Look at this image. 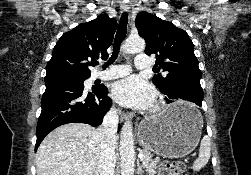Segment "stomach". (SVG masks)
Segmentation results:
<instances>
[{
    "label": "stomach",
    "instance_id": "obj_1",
    "mask_svg": "<svg viewBox=\"0 0 251 175\" xmlns=\"http://www.w3.org/2000/svg\"><path fill=\"white\" fill-rule=\"evenodd\" d=\"M203 119L188 100H179L160 115L145 117L137 129L138 143L153 154L185 157L201 137Z\"/></svg>",
    "mask_w": 251,
    "mask_h": 175
}]
</instances>
